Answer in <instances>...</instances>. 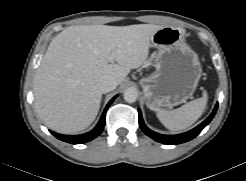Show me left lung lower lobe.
Listing matches in <instances>:
<instances>
[{"label":"left lung lower lobe","mask_w":246,"mask_h":181,"mask_svg":"<svg viewBox=\"0 0 246 181\" xmlns=\"http://www.w3.org/2000/svg\"><path fill=\"white\" fill-rule=\"evenodd\" d=\"M217 108H218V103L216 104L211 115L205 121H203L200 125H198L194 129H192L188 132L182 133V134H178V135H162V134H158L156 132L151 131L150 129H148L145 126L140 110H138L139 123H140V127L144 131V133H146L149 137H151L155 141L163 143V144H168V145H176V144H181V143L187 142V141L195 138L202 131V129L206 125H208V123L212 120V118L214 117V115L217 111Z\"/></svg>","instance_id":"left-lung-lower-lobe-1"}]
</instances>
